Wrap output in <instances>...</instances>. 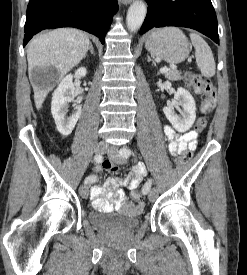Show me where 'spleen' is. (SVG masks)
Returning a JSON list of instances; mask_svg holds the SVG:
<instances>
[{
  "label": "spleen",
  "mask_w": 247,
  "mask_h": 275,
  "mask_svg": "<svg viewBox=\"0 0 247 275\" xmlns=\"http://www.w3.org/2000/svg\"><path fill=\"white\" fill-rule=\"evenodd\" d=\"M190 39L195 48L196 63L201 70V74L204 77H213L216 65L209 45L197 33H190Z\"/></svg>",
  "instance_id": "spleen-1"
}]
</instances>
